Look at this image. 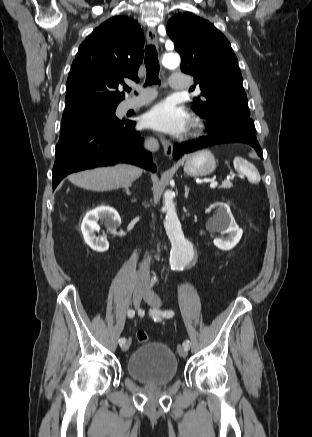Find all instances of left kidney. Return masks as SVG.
Here are the masks:
<instances>
[{"mask_svg":"<svg viewBox=\"0 0 312 437\" xmlns=\"http://www.w3.org/2000/svg\"><path fill=\"white\" fill-rule=\"evenodd\" d=\"M213 207H218V210L216 215L208 220L207 226L212 232H220L222 235L214 239V245L224 251L230 250L240 241L243 230L235 222L227 204L217 202Z\"/></svg>","mask_w":312,"mask_h":437,"instance_id":"1","label":"left kidney"}]
</instances>
